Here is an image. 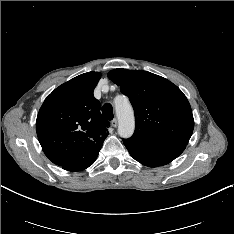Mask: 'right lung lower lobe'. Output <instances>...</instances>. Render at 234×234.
<instances>
[{"instance_id":"right-lung-lower-lobe-1","label":"right lung lower lobe","mask_w":234,"mask_h":234,"mask_svg":"<svg viewBox=\"0 0 234 234\" xmlns=\"http://www.w3.org/2000/svg\"><path fill=\"white\" fill-rule=\"evenodd\" d=\"M99 154V151L97 153H95L93 156H91L90 158H88L87 160L80 162L78 164L72 165V166H68L64 169L69 170V171H80L83 170L87 167H89L91 164L94 163V161L96 160L97 156Z\"/></svg>"}]
</instances>
